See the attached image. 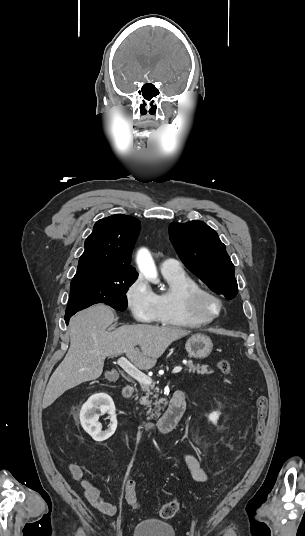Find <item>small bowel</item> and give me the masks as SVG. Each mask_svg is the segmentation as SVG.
Listing matches in <instances>:
<instances>
[{
    "instance_id": "1",
    "label": "small bowel",
    "mask_w": 305,
    "mask_h": 536,
    "mask_svg": "<svg viewBox=\"0 0 305 536\" xmlns=\"http://www.w3.org/2000/svg\"><path fill=\"white\" fill-rule=\"evenodd\" d=\"M183 461L190 473L191 478L194 481L200 483L207 481V475L201 468L197 458L194 455L184 452ZM68 470L71 476L79 483L84 492L86 500L94 509L106 516L116 515V505L101 495L98 485L91 478L83 474L78 464L70 463L68 465ZM116 523L117 521L113 522V525Z\"/></svg>"
}]
</instances>
